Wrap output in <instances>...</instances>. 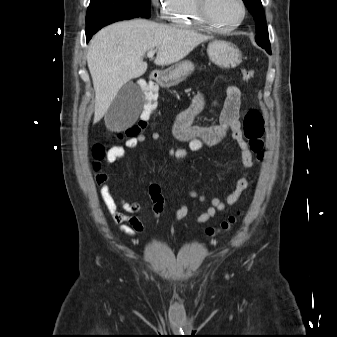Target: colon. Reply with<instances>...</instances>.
<instances>
[{
	"label": "colon",
	"mask_w": 337,
	"mask_h": 337,
	"mask_svg": "<svg viewBox=\"0 0 337 337\" xmlns=\"http://www.w3.org/2000/svg\"><path fill=\"white\" fill-rule=\"evenodd\" d=\"M255 76V72L252 69L244 68L242 70V77L245 81H251ZM141 98H143L142 112L140 113V120L138 123L128 127L124 132L120 133L119 137L132 138L140 134V132L147 126L148 120L153 118V113L157 112V107L155 106L158 98V91L151 86L145 87L144 91H141ZM243 133L244 137L249 144L251 151L257 154L259 159L263 158L264 151V119L262 113L257 108L249 109L243 120ZM202 146L201 140L191 141V150L197 151L199 147ZM162 151H168L169 156H180L181 150L174 149L173 144H162ZM93 157L96 161L100 160L104 154L105 149L103 145L97 143L93 147ZM95 167H98V163L95 162ZM237 222V216H231L226 221L222 222L217 228H207L206 234L208 236H216L219 234H224L230 232Z\"/></svg>",
	"instance_id": "5ec220e1"
}]
</instances>
